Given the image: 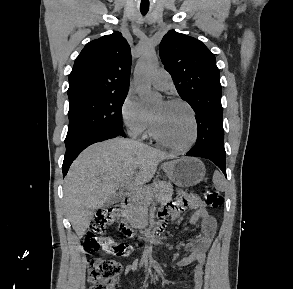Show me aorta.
<instances>
[{
    "mask_svg": "<svg viewBox=\"0 0 293 289\" xmlns=\"http://www.w3.org/2000/svg\"><path fill=\"white\" fill-rule=\"evenodd\" d=\"M158 68L157 57L153 53H147L138 62L135 68L134 84L141 99L146 105H156L162 100V96L151 89L150 77Z\"/></svg>",
    "mask_w": 293,
    "mask_h": 289,
    "instance_id": "1",
    "label": "aorta"
}]
</instances>
